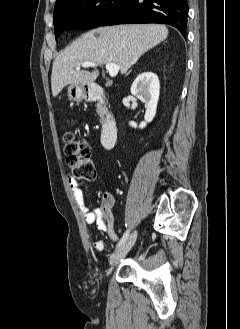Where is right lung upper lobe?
<instances>
[{"label":"right lung upper lobe","instance_id":"cb5924a9","mask_svg":"<svg viewBox=\"0 0 240 329\" xmlns=\"http://www.w3.org/2000/svg\"><path fill=\"white\" fill-rule=\"evenodd\" d=\"M67 1L69 0H56V3H55V7L54 9H57L59 8L60 6H62L64 3H66Z\"/></svg>","mask_w":240,"mask_h":329}]
</instances>
